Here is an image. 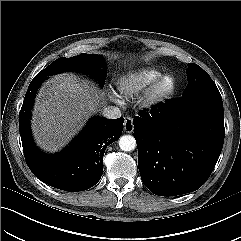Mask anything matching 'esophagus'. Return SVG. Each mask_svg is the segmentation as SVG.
<instances>
[{"instance_id": "34e87169", "label": "esophagus", "mask_w": 241, "mask_h": 241, "mask_svg": "<svg viewBox=\"0 0 241 241\" xmlns=\"http://www.w3.org/2000/svg\"><path fill=\"white\" fill-rule=\"evenodd\" d=\"M134 130L133 119L131 117H126L124 121V131L127 133H132Z\"/></svg>"}]
</instances>
